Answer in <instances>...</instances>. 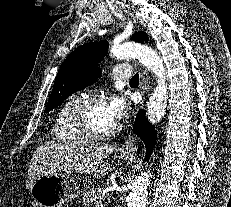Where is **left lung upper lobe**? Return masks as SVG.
I'll return each mask as SVG.
<instances>
[{"instance_id":"left-lung-upper-lobe-1","label":"left lung upper lobe","mask_w":231,"mask_h":207,"mask_svg":"<svg viewBox=\"0 0 231 207\" xmlns=\"http://www.w3.org/2000/svg\"><path fill=\"white\" fill-rule=\"evenodd\" d=\"M131 40L147 42L144 32L135 33ZM108 42L84 44L75 49L62 63L54 81L52 93L44 112L56 108L71 94L94 83L101 74L98 63L107 54Z\"/></svg>"}]
</instances>
